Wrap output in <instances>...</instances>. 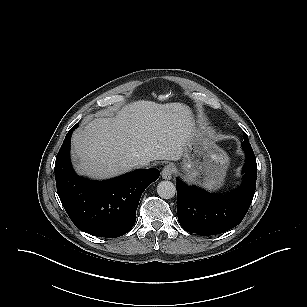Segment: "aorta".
I'll return each instance as SVG.
<instances>
[{"instance_id": "762f6f07", "label": "aorta", "mask_w": 307, "mask_h": 307, "mask_svg": "<svg viewBox=\"0 0 307 307\" xmlns=\"http://www.w3.org/2000/svg\"><path fill=\"white\" fill-rule=\"evenodd\" d=\"M157 193L163 199H171L176 194V187L170 181H161L157 186Z\"/></svg>"}]
</instances>
